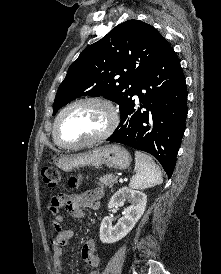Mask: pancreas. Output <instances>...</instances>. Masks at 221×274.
<instances>
[{"mask_svg":"<svg viewBox=\"0 0 221 274\" xmlns=\"http://www.w3.org/2000/svg\"><path fill=\"white\" fill-rule=\"evenodd\" d=\"M117 176L107 174L100 178V183H98L99 187H109L112 188L115 183H117Z\"/></svg>","mask_w":221,"mask_h":274,"instance_id":"pancreas-1","label":"pancreas"}]
</instances>
